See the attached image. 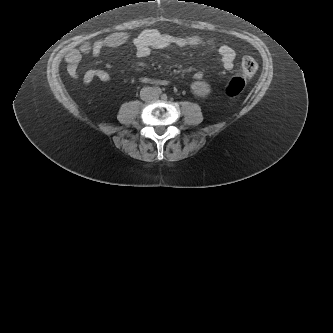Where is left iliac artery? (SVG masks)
<instances>
[{
	"label": "left iliac artery",
	"instance_id": "44dca946",
	"mask_svg": "<svg viewBox=\"0 0 333 333\" xmlns=\"http://www.w3.org/2000/svg\"><path fill=\"white\" fill-rule=\"evenodd\" d=\"M161 97H162V98H165V97H166V95H165V94H162V95H161Z\"/></svg>",
	"mask_w": 333,
	"mask_h": 333
}]
</instances>
